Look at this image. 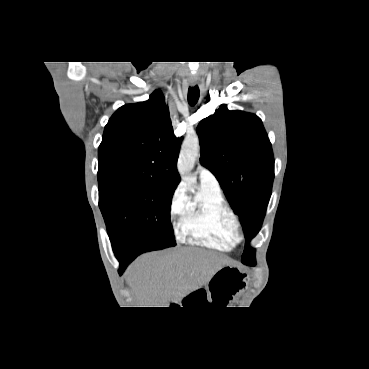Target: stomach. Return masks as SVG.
<instances>
[{
    "instance_id": "obj_1",
    "label": "stomach",
    "mask_w": 369,
    "mask_h": 369,
    "mask_svg": "<svg viewBox=\"0 0 369 369\" xmlns=\"http://www.w3.org/2000/svg\"><path fill=\"white\" fill-rule=\"evenodd\" d=\"M247 280V275L237 266L224 265L208 281L205 291L213 301L227 305L246 287Z\"/></svg>"
}]
</instances>
